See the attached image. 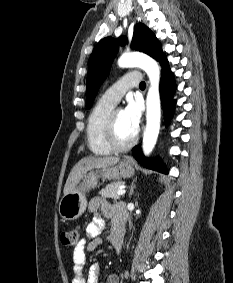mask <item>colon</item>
Segmentation results:
<instances>
[{"instance_id":"colon-1","label":"colon","mask_w":233,"mask_h":283,"mask_svg":"<svg viewBox=\"0 0 233 283\" xmlns=\"http://www.w3.org/2000/svg\"><path fill=\"white\" fill-rule=\"evenodd\" d=\"M80 237V227L74 226L65 230L60 237L61 243L65 246H75Z\"/></svg>"}]
</instances>
